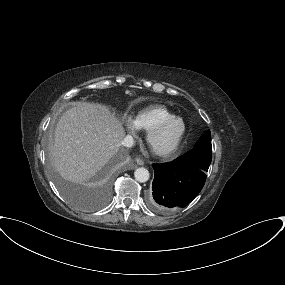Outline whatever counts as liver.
Returning <instances> with one entry per match:
<instances>
[{
    "mask_svg": "<svg viewBox=\"0 0 285 285\" xmlns=\"http://www.w3.org/2000/svg\"><path fill=\"white\" fill-rule=\"evenodd\" d=\"M125 131L104 105L80 102L60 117L51 146L55 169L69 181L94 176L117 152Z\"/></svg>",
    "mask_w": 285,
    "mask_h": 285,
    "instance_id": "1",
    "label": "liver"
}]
</instances>
